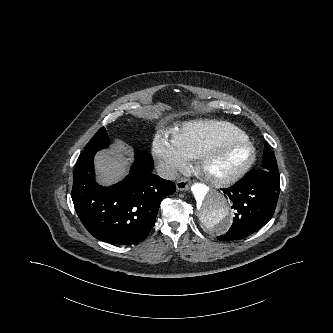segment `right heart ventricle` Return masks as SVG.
Masks as SVG:
<instances>
[{
    "instance_id": "right-heart-ventricle-1",
    "label": "right heart ventricle",
    "mask_w": 333,
    "mask_h": 333,
    "mask_svg": "<svg viewBox=\"0 0 333 333\" xmlns=\"http://www.w3.org/2000/svg\"><path fill=\"white\" fill-rule=\"evenodd\" d=\"M248 137L237 126L217 120L189 122L172 132V139L188 160H194L202 149L221 136Z\"/></svg>"
}]
</instances>
